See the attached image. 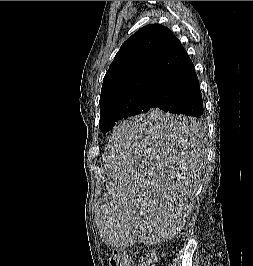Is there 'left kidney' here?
Segmentation results:
<instances>
[{"label": "left kidney", "mask_w": 253, "mask_h": 266, "mask_svg": "<svg viewBox=\"0 0 253 266\" xmlns=\"http://www.w3.org/2000/svg\"><path fill=\"white\" fill-rule=\"evenodd\" d=\"M188 206V205H187ZM181 217L185 218V216L181 215Z\"/></svg>", "instance_id": "5707ae66"}]
</instances>
